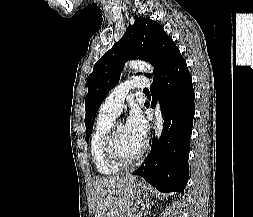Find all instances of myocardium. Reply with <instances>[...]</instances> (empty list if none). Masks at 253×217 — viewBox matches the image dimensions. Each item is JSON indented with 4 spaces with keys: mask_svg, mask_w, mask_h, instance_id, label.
<instances>
[{
    "mask_svg": "<svg viewBox=\"0 0 253 217\" xmlns=\"http://www.w3.org/2000/svg\"><path fill=\"white\" fill-rule=\"evenodd\" d=\"M120 122H114L105 138L104 141V154L107 160L119 167H128L136 164L141 157L143 156L146 150V144L143 143L138 153L131 159H126L122 157L116 147V139H117V128Z\"/></svg>",
    "mask_w": 253,
    "mask_h": 217,
    "instance_id": "1",
    "label": "myocardium"
}]
</instances>
